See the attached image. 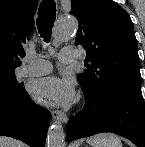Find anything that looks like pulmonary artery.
Instances as JSON below:
<instances>
[{
  "label": "pulmonary artery",
  "instance_id": "pulmonary-artery-1",
  "mask_svg": "<svg viewBox=\"0 0 145 147\" xmlns=\"http://www.w3.org/2000/svg\"><path fill=\"white\" fill-rule=\"evenodd\" d=\"M78 57V52L74 49L66 48L59 53V61L62 64L73 62ZM25 66L21 69V76H40L51 72L52 65L50 62L27 56L25 59Z\"/></svg>",
  "mask_w": 145,
  "mask_h": 147
}]
</instances>
